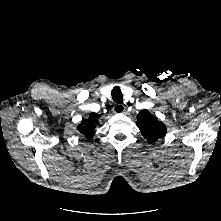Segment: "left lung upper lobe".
Instances as JSON below:
<instances>
[{"mask_svg": "<svg viewBox=\"0 0 221 221\" xmlns=\"http://www.w3.org/2000/svg\"><path fill=\"white\" fill-rule=\"evenodd\" d=\"M137 126L149 143H153L166 134V126L147 110L137 116Z\"/></svg>", "mask_w": 221, "mask_h": 221, "instance_id": "5c2ea615", "label": "left lung upper lobe"}]
</instances>
